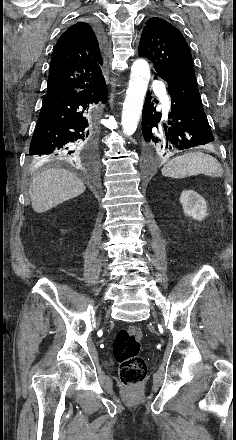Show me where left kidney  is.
I'll list each match as a JSON object with an SVG mask.
<instances>
[{"label":"left kidney","instance_id":"5707ae66","mask_svg":"<svg viewBox=\"0 0 236 440\" xmlns=\"http://www.w3.org/2000/svg\"><path fill=\"white\" fill-rule=\"evenodd\" d=\"M184 213L195 220L202 221L207 216L205 199L193 190H184L180 196Z\"/></svg>","mask_w":236,"mask_h":440}]
</instances>
